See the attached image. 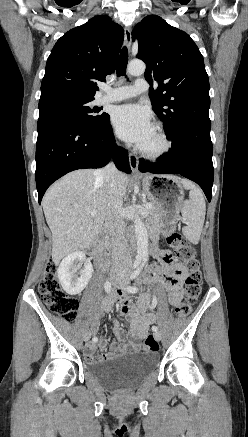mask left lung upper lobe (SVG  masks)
Returning <instances> with one entry per match:
<instances>
[{
    "label": "left lung upper lobe",
    "mask_w": 248,
    "mask_h": 437,
    "mask_svg": "<svg viewBox=\"0 0 248 437\" xmlns=\"http://www.w3.org/2000/svg\"><path fill=\"white\" fill-rule=\"evenodd\" d=\"M138 40L137 58L146 63L152 108L170 136L186 122L209 119V79L203 56L191 37L156 15L132 31ZM158 88L153 89V84Z\"/></svg>",
    "instance_id": "obj_1"
}]
</instances>
